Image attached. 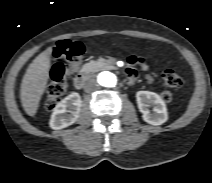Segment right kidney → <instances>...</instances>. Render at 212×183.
Returning a JSON list of instances; mask_svg holds the SVG:
<instances>
[{
	"label": "right kidney",
	"mask_w": 212,
	"mask_h": 183,
	"mask_svg": "<svg viewBox=\"0 0 212 183\" xmlns=\"http://www.w3.org/2000/svg\"><path fill=\"white\" fill-rule=\"evenodd\" d=\"M82 100L79 93L74 92L61 100L51 115L49 125L59 130L72 125L77 120L81 110Z\"/></svg>",
	"instance_id": "right-kidney-1"
}]
</instances>
